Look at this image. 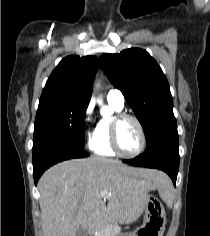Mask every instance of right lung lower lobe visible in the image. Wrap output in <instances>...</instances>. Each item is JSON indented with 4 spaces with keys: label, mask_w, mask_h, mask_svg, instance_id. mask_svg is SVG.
Segmentation results:
<instances>
[{
    "label": "right lung lower lobe",
    "mask_w": 210,
    "mask_h": 236,
    "mask_svg": "<svg viewBox=\"0 0 210 236\" xmlns=\"http://www.w3.org/2000/svg\"><path fill=\"white\" fill-rule=\"evenodd\" d=\"M32 155L35 184L50 166L64 160L89 156L84 148L78 145L56 140L33 144Z\"/></svg>",
    "instance_id": "right-lung-lower-lobe-1"
}]
</instances>
